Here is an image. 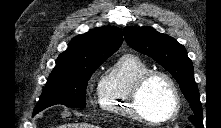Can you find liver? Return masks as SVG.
Here are the masks:
<instances>
[{
    "instance_id": "obj_1",
    "label": "liver",
    "mask_w": 221,
    "mask_h": 128,
    "mask_svg": "<svg viewBox=\"0 0 221 128\" xmlns=\"http://www.w3.org/2000/svg\"><path fill=\"white\" fill-rule=\"evenodd\" d=\"M58 128H97L94 125L80 123V124H68V125H61Z\"/></svg>"
}]
</instances>
